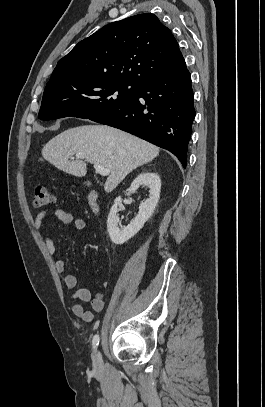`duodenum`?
<instances>
[{
	"mask_svg": "<svg viewBox=\"0 0 265 407\" xmlns=\"http://www.w3.org/2000/svg\"><path fill=\"white\" fill-rule=\"evenodd\" d=\"M89 203L92 210L97 213L99 210L98 203H97V193L95 191L91 192L89 195Z\"/></svg>",
	"mask_w": 265,
	"mask_h": 407,
	"instance_id": "obj_1",
	"label": "duodenum"
}]
</instances>
